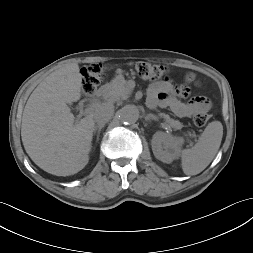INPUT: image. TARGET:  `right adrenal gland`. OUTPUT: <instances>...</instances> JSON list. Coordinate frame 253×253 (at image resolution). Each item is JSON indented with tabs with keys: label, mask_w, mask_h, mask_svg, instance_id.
Here are the masks:
<instances>
[{
	"label": "right adrenal gland",
	"mask_w": 253,
	"mask_h": 253,
	"mask_svg": "<svg viewBox=\"0 0 253 253\" xmlns=\"http://www.w3.org/2000/svg\"><path fill=\"white\" fill-rule=\"evenodd\" d=\"M103 127H104V124L103 125H97V126L94 127V135L97 132V141L99 140L100 132H101V129Z\"/></svg>",
	"instance_id": "2a0ac1e0"
}]
</instances>
